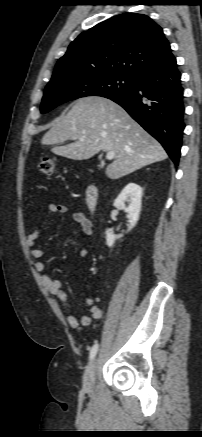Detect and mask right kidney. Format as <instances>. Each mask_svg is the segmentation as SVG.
Segmentation results:
<instances>
[{"label":"right kidney","instance_id":"right-kidney-1","mask_svg":"<svg viewBox=\"0 0 202 437\" xmlns=\"http://www.w3.org/2000/svg\"><path fill=\"white\" fill-rule=\"evenodd\" d=\"M143 189L141 186L135 183L127 184L121 193L118 195L114 201V206L117 208H123L128 214L129 224L128 231H130L139 220V215L141 211V200H142ZM128 202L129 205L126 207L125 203ZM122 235H114L110 230L106 231V243L109 247H112L115 240L121 238Z\"/></svg>","mask_w":202,"mask_h":437}]
</instances>
